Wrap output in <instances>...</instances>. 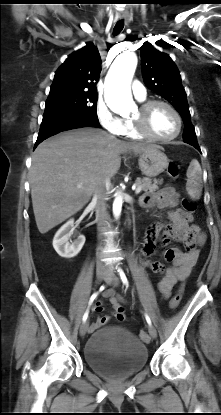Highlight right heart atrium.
I'll return each mask as SVG.
<instances>
[{"label":"right heart atrium","instance_id":"d8ad5b80","mask_svg":"<svg viewBox=\"0 0 221 415\" xmlns=\"http://www.w3.org/2000/svg\"><path fill=\"white\" fill-rule=\"evenodd\" d=\"M96 115L100 125L108 133L115 136L124 135L126 129V121L112 112L103 100H99L97 102Z\"/></svg>","mask_w":221,"mask_h":415}]
</instances>
